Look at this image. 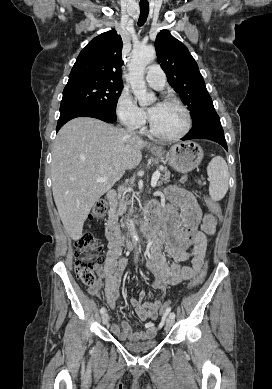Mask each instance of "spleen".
<instances>
[{
	"instance_id": "3e777b00",
	"label": "spleen",
	"mask_w": 272,
	"mask_h": 389,
	"mask_svg": "<svg viewBox=\"0 0 272 389\" xmlns=\"http://www.w3.org/2000/svg\"><path fill=\"white\" fill-rule=\"evenodd\" d=\"M210 181L209 194L214 201L221 200L228 191L229 172L221 156L214 157L207 166Z\"/></svg>"
}]
</instances>
